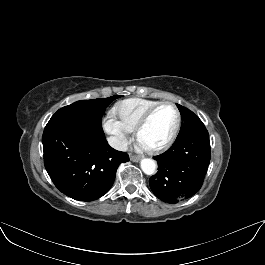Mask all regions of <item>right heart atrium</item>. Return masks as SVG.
<instances>
[{"label": "right heart atrium", "mask_w": 265, "mask_h": 265, "mask_svg": "<svg viewBox=\"0 0 265 265\" xmlns=\"http://www.w3.org/2000/svg\"><path fill=\"white\" fill-rule=\"evenodd\" d=\"M103 127L112 137L113 144L116 148L125 149L127 147L131 131L113 113H108L104 117Z\"/></svg>", "instance_id": "d8ad5b80"}]
</instances>
